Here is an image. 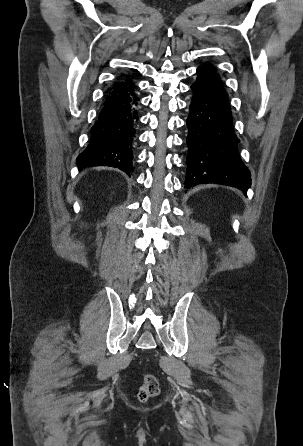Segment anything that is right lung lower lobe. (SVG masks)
<instances>
[{"label": "right lung lower lobe", "mask_w": 303, "mask_h": 446, "mask_svg": "<svg viewBox=\"0 0 303 446\" xmlns=\"http://www.w3.org/2000/svg\"><path fill=\"white\" fill-rule=\"evenodd\" d=\"M139 98L130 79L116 82L108 91L88 147L78 156L79 169L93 166L133 172V141Z\"/></svg>", "instance_id": "1"}]
</instances>
